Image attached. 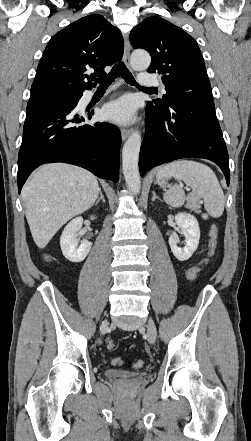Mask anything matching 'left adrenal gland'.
<instances>
[{
	"mask_svg": "<svg viewBox=\"0 0 251 441\" xmlns=\"http://www.w3.org/2000/svg\"><path fill=\"white\" fill-rule=\"evenodd\" d=\"M153 197H152V201H155V199H159L161 200L155 193V191H152Z\"/></svg>",
	"mask_w": 251,
	"mask_h": 441,
	"instance_id": "1",
	"label": "left adrenal gland"
}]
</instances>
